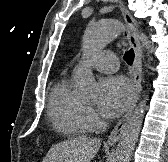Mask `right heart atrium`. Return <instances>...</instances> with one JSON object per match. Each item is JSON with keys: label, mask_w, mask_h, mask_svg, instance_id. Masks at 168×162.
<instances>
[{"label": "right heart atrium", "mask_w": 168, "mask_h": 162, "mask_svg": "<svg viewBox=\"0 0 168 162\" xmlns=\"http://www.w3.org/2000/svg\"><path fill=\"white\" fill-rule=\"evenodd\" d=\"M85 118L90 127H97L99 125V118L93 108L86 107Z\"/></svg>", "instance_id": "obj_1"}]
</instances>
